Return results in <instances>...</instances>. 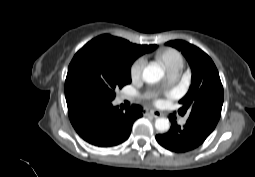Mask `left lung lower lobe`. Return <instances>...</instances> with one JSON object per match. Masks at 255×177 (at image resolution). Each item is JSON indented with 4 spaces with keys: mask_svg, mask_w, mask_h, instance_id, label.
<instances>
[{
    "mask_svg": "<svg viewBox=\"0 0 255 177\" xmlns=\"http://www.w3.org/2000/svg\"><path fill=\"white\" fill-rule=\"evenodd\" d=\"M211 133L206 128L188 122L183 127L174 122L167 133L156 135V140L170 151L183 153L200 146Z\"/></svg>",
    "mask_w": 255,
    "mask_h": 177,
    "instance_id": "1",
    "label": "left lung lower lobe"
}]
</instances>
